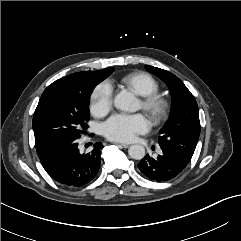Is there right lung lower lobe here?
<instances>
[{"label":"right lung lower lobe","instance_id":"right-lung-lower-lobe-1","mask_svg":"<svg viewBox=\"0 0 241 241\" xmlns=\"http://www.w3.org/2000/svg\"><path fill=\"white\" fill-rule=\"evenodd\" d=\"M102 148L100 143H96L90 153L80 154L78 139H74L52 144L37 154L45 171L55 181L70 187H80L97 175Z\"/></svg>","mask_w":241,"mask_h":241}]
</instances>
